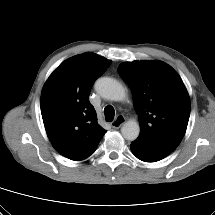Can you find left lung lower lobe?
Wrapping results in <instances>:
<instances>
[{
  "mask_svg": "<svg viewBox=\"0 0 215 215\" xmlns=\"http://www.w3.org/2000/svg\"><path fill=\"white\" fill-rule=\"evenodd\" d=\"M132 153L140 160L145 162H156L163 158H165L168 155L161 154L159 152H156L152 149H149L145 147L144 145H141L136 142H132L130 145Z\"/></svg>",
  "mask_w": 215,
  "mask_h": 215,
  "instance_id": "1",
  "label": "left lung lower lobe"
}]
</instances>
